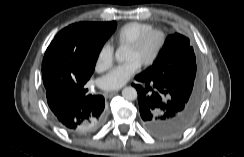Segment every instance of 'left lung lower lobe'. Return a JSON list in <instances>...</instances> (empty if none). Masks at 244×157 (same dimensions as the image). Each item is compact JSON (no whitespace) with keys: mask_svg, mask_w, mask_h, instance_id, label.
Returning a JSON list of instances; mask_svg holds the SVG:
<instances>
[{"mask_svg":"<svg viewBox=\"0 0 244 157\" xmlns=\"http://www.w3.org/2000/svg\"><path fill=\"white\" fill-rule=\"evenodd\" d=\"M136 80L144 84L133 86L138 92L143 125L150 133L161 138H174L192 124L198 112L196 104L170 92L158 79L139 74Z\"/></svg>","mask_w":244,"mask_h":157,"instance_id":"obj_1","label":"left lung lower lobe"}]
</instances>
